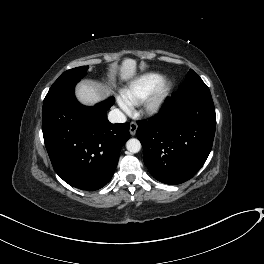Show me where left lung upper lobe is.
I'll list each match as a JSON object with an SVG mask.
<instances>
[{"mask_svg":"<svg viewBox=\"0 0 264 264\" xmlns=\"http://www.w3.org/2000/svg\"><path fill=\"white\" fill-rule=\"evenodd\" d=\"M197 86H206L203 80L192 70L190 69L186 79L179 86L178 90H183L189 87H197Z\"/></svg>","mask_w":264,"mask_h":264,"instance_id":"left-lung-upper-lobe-1","label":"left lung upper lobe"}]
</instances>
